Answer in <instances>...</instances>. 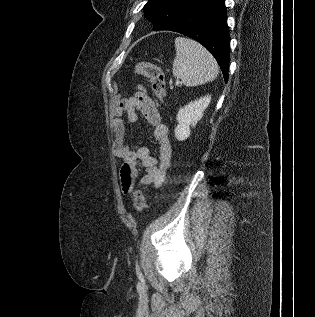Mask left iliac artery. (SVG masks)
Masks as SVG:
<instances>
[{"instance_id": "left-iliac-artery-1", "label": "left iliac artery", "mask_w": 315, "mask_h": 317, "mask_svg": "<svg viewBox=\"0 0 315 317\" xmlns=\"http://www.w3.org/2000/svg\"><path fill=\"white\" fill-rule=\"evenodd\" d=\"M136 273H137V275H138L139 278L142 277V274H141V272H140V268H139L138 265H136Z\"/></svg>"}]
</instances>
